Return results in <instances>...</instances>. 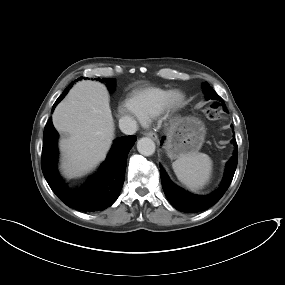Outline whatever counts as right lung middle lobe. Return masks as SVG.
Wrapping results in <instances>:
<instances>
[{"instance_id": "obj_1", "label": "right lung middle lobe", "mask_w": 285, "mask_h": 285, "mask_svg": "<svg viewBox=\"0 0 285 285\" xmlns=\"http://www.w3.org/2000/svg\"><path fill=\"white\" fill-rule=\"evenodd\" d=\"M100 80V79H99ZM101 82L105 81L108 84L109 89H112L114 87V80L113 79H102Z\"/></svg>"}]
</instances>
